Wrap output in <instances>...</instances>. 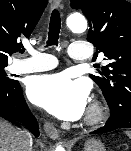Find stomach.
Returning a JSON list of instances; mask_svg holds the SVG:
<instances>
[{
  "label": "stomach",
  "instance_id": "obj_1",
  "mask_svg": "<svg viewBox=\"0 0 131 151\" xmlns=\"http://www.w3.org/2000/svg\"><path fill=\"white\" fill-rule=\"evenodd\" d=\"M84 151H106V148L100 140L90 139L85 142Z\"/></svg>",
  "mask_w": 131,
  "mask_h": 151
}]
</instances>
